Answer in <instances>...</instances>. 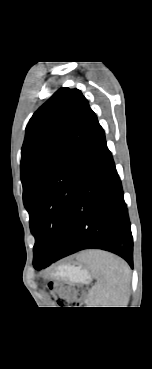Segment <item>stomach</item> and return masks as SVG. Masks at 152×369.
<instances>
[{
	"instance_id": "0dacf381",
	"label": "stomach",
	"mask_w": 152,
	"mask_h": 369,
	"mask_svg": "<svg viewBox=\"0 0 152 369\" xmlns=\"http://www.w3.org/2000/svg\"><path fill=\"white\" fill-rule=\"evenodd\" d=\"M59 274L74 283H87L90 280L88 271L81 265L62 266L59 268Z\"/></svg>"
}]
</instances>
